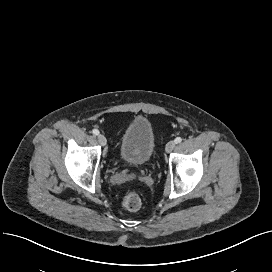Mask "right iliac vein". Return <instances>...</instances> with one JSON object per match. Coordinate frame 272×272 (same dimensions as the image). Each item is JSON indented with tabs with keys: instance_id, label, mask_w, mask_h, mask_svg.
<instances>
[{
	"instance_id": "obj_1",
	"label": "right iliac vein",
	"mask_w": 272,
	"mask_h": 272,
	"mask_svg": "<svg viewBox=\"0 0 272 272\" xmlns=\"http://www.w3.org/2000/svg\"><path fill=\"white\" fill-rule=\"evenodd\" d=\"M97 139L102 146L107 144V140L103 134H98Z\"/></svg>"
}]
</instances>
